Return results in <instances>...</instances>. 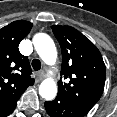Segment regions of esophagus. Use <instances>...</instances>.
Here are the masks:
<instances>
[{
    "label": "esophagus",
    "instance_id": "esophagus-1",
    "mask_svg": "<svg viewBox=\"0 0 117 117\" xmlns=\"http://www.w3.org/2000/svg\"><path fill=\"white\" fill-rule=\"evenodd\" d=\"M44 76H45V72L43 70H41L37 73V77L39 80H42L44 78Z\"/></svg>",
    "mask_w": 117,
    "mask_h": 117
}]
</instances>
